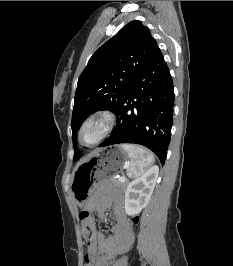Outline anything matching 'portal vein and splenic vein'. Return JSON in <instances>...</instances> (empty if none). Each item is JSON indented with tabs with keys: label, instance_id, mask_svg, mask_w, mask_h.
<instances>
[{
	"label": "portal vein and splenic vein",
	"instance_id": "1",
	"mask_svg": "<svg viewBox=\"0 0 233 266\" xmlns=\"http://www.w3.org/2000/svg\"><path fill=\"white\" fill-rule=\"evenodd\" d=\"M125 180H126L125 177H119V181H120V182H124Z\"/></svg>",
	"mask_w": 233,
	"mask_h": 266
}]
</instances>
